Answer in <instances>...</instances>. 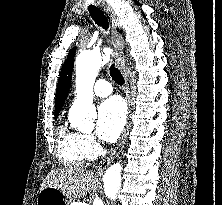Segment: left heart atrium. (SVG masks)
<instances>
[{
	"instance_id": "left-heart-atrium-1",
	"label": "left heart atrium",
	"mask_w": 222,
	"mask_h": 205,
	"mask_svg": "<svg viewBox=\"0 0 222 205\" xmlns=\"http://www.w3.org/2000/svg\"><path fill=\"white\" fill-rule=\"evenodd\" d=\"M126 122V109L120 98L104 101L98 108L97 133L106 142L115 141Z\"/></svg>"
}]
</instances>
